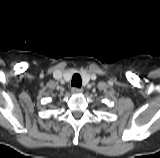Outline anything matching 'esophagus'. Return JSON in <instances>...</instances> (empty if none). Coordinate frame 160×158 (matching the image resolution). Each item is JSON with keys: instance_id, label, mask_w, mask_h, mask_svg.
Segmentation results:
<instances>
[{"instance_id": "esophagus-1", "label": "esophagus", "mask_w": 160, "mask_h": 158, "mask_svg": "<svg viewBox=\"0 0 160 158\" xmlns=\"http://www.w3.org/2000/svg\"><path fill=\"white\" fill-rule=\"evenodd\" d=\"M71 92L73 94H79V93H82L83 92V89L82 88H79V87H73Z\"/></svg>"}]
</instances>
